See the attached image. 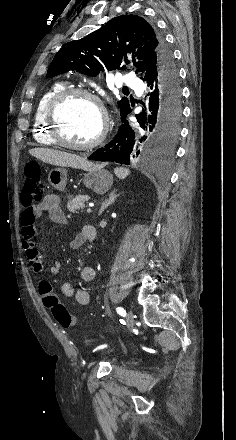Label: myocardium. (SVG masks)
<instances>
[{"mask_svg": "<svg viewBox=\"0 0 236 440\" xmlns=\"http://www.w3.org/2000/svg\"><path fill=\"white\" fill-rule=\"evenodd\" d=\"M78 96L92 101L98 108L101 116V127L97 136L88 143L75 144L67 141L61 133L60 122L57 112L61 105L69 98ZM45 122L48 127L49 134L55 143L63 148L71 150H91L103 142L108 133V115L102 100L94 93L87 89L64 87L55 93L49 100L45 110Z\"/></svg>", "mask_w": 236, "mask_h": 440, "instance_id": "obj_1", "label": "myocardium"}]
</instances>
